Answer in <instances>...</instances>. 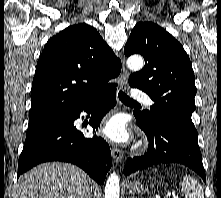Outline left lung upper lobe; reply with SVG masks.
<instances>
[{
    "label": "left lung upper lobe",
    "instance_id": "obj_1",
    "mask_svg": "<svg viewBox=\"0 0 221 198\" xmlns=\"http://www.w3.org/2000/svg\"><path fill=\"white\" fill-rule=\"evenodd\" d=\"M124 53L144 57V68L131 74L129 85L143 90L155 102L150 111L136 113L149 122H168L196 131L191 119L196 109L195 77L182 45L159 25L140 22L133 28Z\"/></svg>",
    "mask_w": 221,
    "mask_h": 198
}]
</instances>
